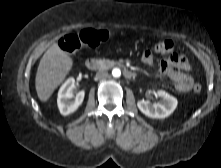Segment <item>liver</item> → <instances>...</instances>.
Returning a JSON list of instances; mask_svg holds the SVG:
<instances>
[{"mask_svg":"<svg viewBox=\"0 0 221 168\" xmlns=\"http://www.w3.org/2000/svg\"><path fill=\"white\" fill-rule=\"evenodd\" d=\"M72 66V58L58 44L54 43L47 49L40 60L35 78L36 92L42 102L48 101Z\"/></svg>","mask_w":221,"mask_h":168,"instance_id":"1","label":"liver"}]
</instances>
